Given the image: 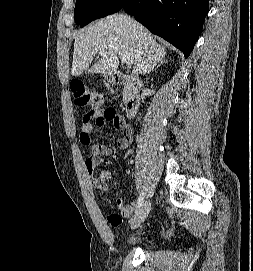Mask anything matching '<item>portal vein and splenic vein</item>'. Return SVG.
Wrapping results in <instances>:
<instances>
[{
    "label": "portal vein and splenic vein",
    "mask_w": 253,
    "mask_h": 271,
    "mask_svg": "<svg viewBox=\"0 0 253 271\" xmlns=\"http://www.w3.org/2000/svg\"><path fill=\"white\" fill-rule=\"evenodd\" d=\"M101 53H103V51ZM118 55L121 58L122 62L126 63V65H132L133 64L132 59L125 52L119 51Z\"/></svg>",
    "instance_id": "18ae733b"
}]
</instances>
